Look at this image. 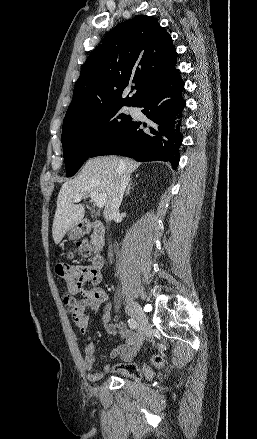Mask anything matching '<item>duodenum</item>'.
Listing matches in <instances>:
<instances>
[{
    "mask_svg": "<svg viewBox=\"0 0 257 439\" xmlns=\"http://www.w3.org/2000/svg\"><path fill=\"white\" fill-rule=\"evenodd\" d=\"M78 231L81 235L91 233L92 243L99 252L105 244V228L101 222L83 220L78 225ZM104 260L100 254L94 256L92 267L100 270L103 266Z\"/></svg>",
    "mask_w": 257,
    "mask_h": 439,
    "instance_id": "obj_1",
    "label": "duodenum"
}]
</instances>
